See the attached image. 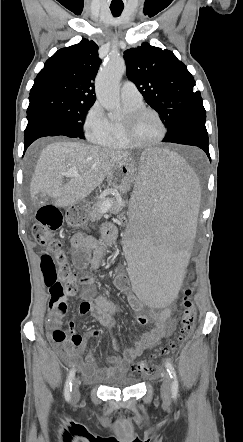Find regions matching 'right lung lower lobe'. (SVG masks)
Instances as JSON below:
<instances>
[{"mask_svg": "<svg viewBox=\"0 0 243 442\" xmlns=\"http://www.w3.org/2000/svg\"><path fill=\"white\" fill-rule=\"evenodd\" d=\"M68 136L76 138L77 136L66 126L54 119L44 116H33L28 119V124L24 132V151L36 139L45 136Z\"/></svg>", "mask_w": 243, "mask_h": 442, "instance_id": "right-lung-lower-lobe-1", "label": "right lung lower lobe"}]
</instances>
